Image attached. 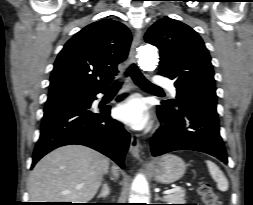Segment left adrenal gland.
Wrapping results in <instances>:
<instances>
[{
    "label": "left adrenal gland",
    "instance_id": "1",
    "mask_svg": "<svg viewBox=\"0 0 253 205\" xmlns=\"http://www.w3.org/2000/svg\"><path fill=\"white\" fill-rule=\"evenodd\" d=\"M155 200H156V201H157V200L162 201V199L158 196V194H157V193H155Z\"/></svg>",
    "mask_w": 253,
    "mask_h": 205
}]
</instances>
